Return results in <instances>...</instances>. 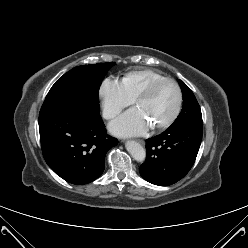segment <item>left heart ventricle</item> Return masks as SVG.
Returning <instances> with one entry per match:
<instances>
[{
	"label": "left heart ventricle",
	"mask_w": 248,
	"mask_h": 248,
	"mask_svg": "<svg viewBox=\"0 0 248 248\" xmlns=\"http://www.w3.org/2000/svg\"><path fill=\"white\" fill-rule=\"evenodd\" d=\"M177 99L175 86L164 82L159 84L147 99L140 101L137 107L152 124H157L171 116L176 108Z\"/></svg>",
	"instance_id": "1"
}]
</instances>
